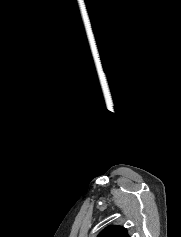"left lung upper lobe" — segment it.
<instances>
[{
	"label": "left lung upper lobe",
	"mask_w": 181,
	"mask_h": 237,
	"mask_svg": "<svg viewBox=\"0 0 181 237\" xmlns=\"http://www.w3.org/2000/svg\"><path fill=\"white\" fill-rule=\"evenodd\" d=\"M97 237H129V235L122 226H108Z\"/></svg>",
	"instance_id": "5c2ea615"
}]
</instances>
